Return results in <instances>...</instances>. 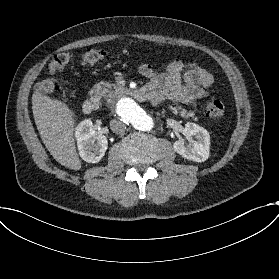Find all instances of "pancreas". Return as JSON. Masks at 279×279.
Returning a JSON list of instances; mask_svg holds the SVG:
<instances>
[{
    "mask_svg": "<svg viewBox=\"0 0 279 279\" xmlns=\"http://www.w3.org/2000/svg\"><path fill=\"white\" fill-rule=\"evenodd\" d=\"M113 87V84L109 83V82H104L101 81L99 83H97L96 85H94V90L95 92L100 95V96H105L106 94H109L111 92V89ZM171 110L174 113H177V109L175 107H172ZM182 117H193L194 113H186V111L184 110L183 113L181 114Z\"/></svg>",
    "mask_w": 279,
    "mask_h": 279,
    "instance_id": "cf45deb5",
    "label": "pancreas"
}]
</instances>
